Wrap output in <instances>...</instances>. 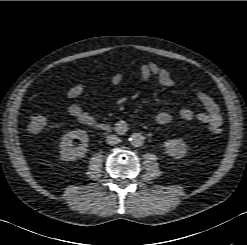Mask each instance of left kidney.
<instances>
[{
    "instance_id": "obj_1",
    "label": "left kidney",
    "mask_w": 247,
    "mask_h": 245,
    "mask_svg": "<svg viewBox=\"0 0 247 245\" xmlns=\"http://www.w3.org/2000/svg\"><path fill=\"white\" fill-rule=\"evenodd\" d=\"M164 145L166 153L176 159L182 158L186 154L188 149V146L187 144H185V142L177 139L167 140Z\"/></svg>"
}]
</instances>
